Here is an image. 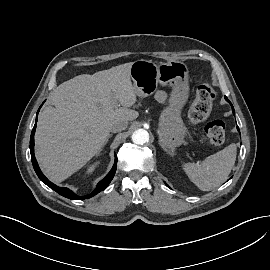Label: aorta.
<instances>
[{"mask_svg":"<svg viewBox=\"0 0 270 270\" xmlns=\"http://www.w3.org/2000/svg\"><path fill=\"white\" fill-rule=\"evenodd\" d=\"M132 140L135 144L143 145L148 142L149 134L144 129H138L132 134Z\"/></svg>","mask_w":270,"mask_h":270,"instance_id":"762f6f07","label":"aorta"}]
</instances>
